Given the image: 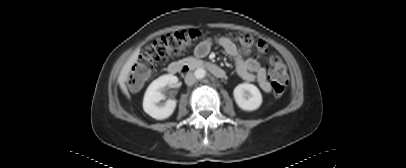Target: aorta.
<instances>
[{
    "label": "aorta",
    "mask_w": 406,
    "mask_h": 168,
    "mask_svg": "<svg viewBox=\"0 0 406 168\" xmlns=\"http://www.w3.org/2000/svg\"><path fill=\"white\" fill-rule=\"evenodd\" d=\"M196 79H203L206 75V70L203 68H198L194 73Z\"/></svg>",
    "instance_id": "762f6f07"
}]
</instances>
